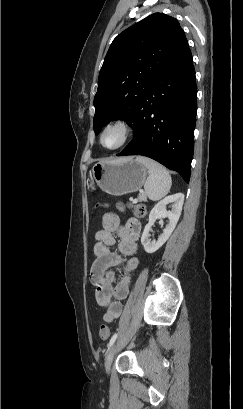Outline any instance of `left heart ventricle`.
<instances>
[{
	"label": "left heart ventricle",
	"instance_id": "left-heart-ventricle-1",
	"mask_svg": "<svg viewBox=\"0 0 243 409\" xmlns=\"http://www.w3.org/2000/svg\"><path fill=\"white\" fill-rule=\"evenodd\" d=\"M121 141V133L116 129L107 131L103 136V143L107 147H114Z\"/></svg>",
	"mask_w": 243,
	"mask_h": 409
}]
</instances>
